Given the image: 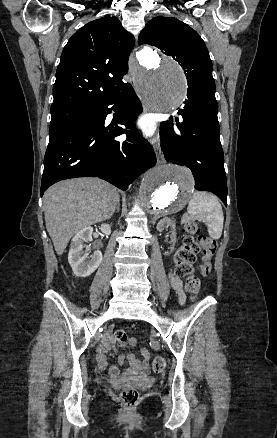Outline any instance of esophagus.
Returning a JSON list of instances; mask_svg holds the SVG:
<instances>
[{
	"label": "esophagus",
	"mask_w": 277,
	"mask_h": 438,
	"mask_svg": "<svg viewBox=\"0 0 277 438\" xmlns=\"http://www.w3.org/2000/svg\"><path fill=\"white\" fill-rule=\"evenodd\" d=\"M132 55H133V57H135V50H134V52H133V54H132Z\"/></svg>",
	"instance_id": "obj_1"
}]
</instances>
